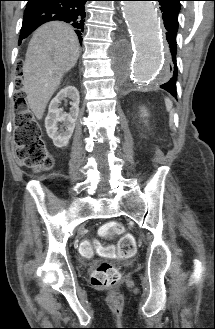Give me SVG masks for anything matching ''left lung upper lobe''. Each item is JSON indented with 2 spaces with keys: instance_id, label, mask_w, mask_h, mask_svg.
Returning <instances> with one entry per match:
<instances>
[{
  "instance_id": "5c2ea615",
  "label": "left lung upper lobe",
  "mask_w": 215,
  "mask_h": 329,
  "mask_svg": "<svg viewBox=\"0 0 215 329\" xmlns=\"http://www.w3.org/2000/svg\"><path fill=\"white\" fill-rule=\"evenodd\" d=\"M176 5L180 6V1L181 0H172Z\"/></svg>"
}]
</instances>
